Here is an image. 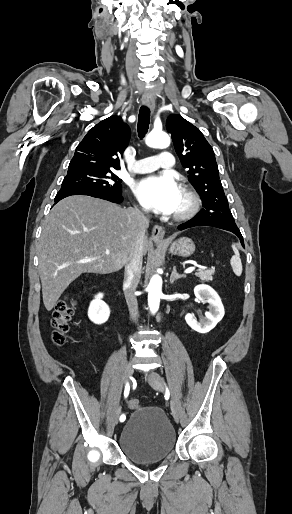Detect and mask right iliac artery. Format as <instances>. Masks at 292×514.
Segmentation results:
<instances>
[{"instance_id": "obj_1", "label": "right iliac artery", "mask_w": 292, "mask_h": 514, "mask_svg": "<svg viewBox=\"0 0 292 514\" xmlns=\"http://www.w3.org/2000/svg\"><path fill=\"white\" fill-rule=\"evenodd\" d=\"M129 391H130V386L128 384V382L126 383V386H125V390H124V397L127 398L128 397V394H129ZM126 419V416L125 414H122L120 416V422H124Z\"/></svg>"}]
</instances>
